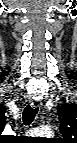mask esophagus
I'll list each match as a JSON object with an SVG mask.
<instances>
[{"instance_id":"esophagus-1","label":"esophagus","mask_w":77,"mask_h":143,"mask_svg":"<svg viewBox=\"0 0 77 143\" xmlns=\"http://www.w3.org/2000/svg\"><path fill=\"white\" fill-rule=\"evenodd\" d=\"M30 105L33 108H39L41 106V103L38 100H33L31 101Z\"/></svg>"}]
</instances>
